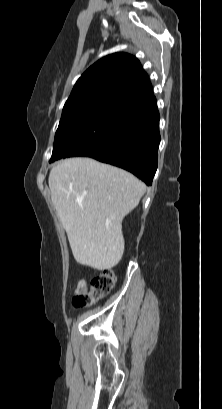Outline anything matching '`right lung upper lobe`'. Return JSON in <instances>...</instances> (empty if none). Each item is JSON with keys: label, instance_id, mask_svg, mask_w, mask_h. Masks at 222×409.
Masks as SVG:
<instances>
[{"label": "right lung upper lobe", "instance_id": "cb5924a9", "mask_svg": "<svg viewBox=\"0 0 222 409\" xmlns=\"http://www.w3.org/2000/svg\"><path fill=\"white\" fill-rule=\"evenodd\" d=\"M155 98L139 61L127 53L103 57L76 82L63 110L97 104L133 106Z\"/></svg>", "mask_w": 222, "mask_h": 409}]
</instances>
